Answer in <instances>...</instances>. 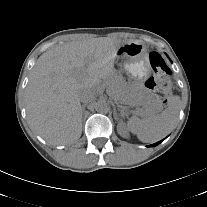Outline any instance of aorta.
Here are the masks:
<instances>
[{
    "label": "aorta",
    "mask_w": 207,
    "mask_h": 207,
    "mask_svg": "<svg viewBox=\"0 0 207 207\" xmlns=\"http://www.w3.org/2000/svg\"><path fill=\"white\" fill-rule=\"evenodd\" d=\"M95 109H96V111H98L100 113H106L109 110L108 104L105 101H103V100H99L95 104Z\"/></svg>",
    "instance_id": "obj_1"
}]
</instances>
